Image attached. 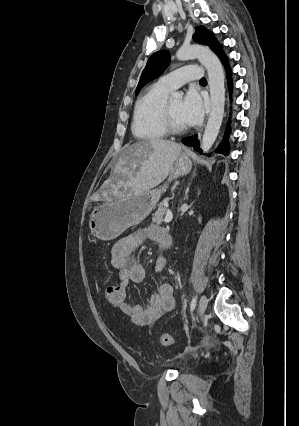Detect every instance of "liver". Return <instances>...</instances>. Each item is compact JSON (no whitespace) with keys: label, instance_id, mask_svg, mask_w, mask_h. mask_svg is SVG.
<instances>
[{"label":"liver","instance_id":"obj_1","mask_svg":"<svg viewBox=\"0 0 299 426\" xmlns=\"http://www.w3.org/2000/svg\"><path fill=\"white\" fill-rule=\"evenodd\" d=\"M181 145L152 138L127 145L114 169V176H122L130 191L121 197L150 190L162 183L181 153Z\"/></svg>","mask_w":299,"mask_h":426}]
</instances>
